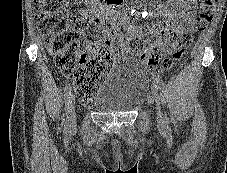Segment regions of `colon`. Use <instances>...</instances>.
I'll return each mask as SVG.
<instances>
[{
    "mask_svg": "<svg viewBox=\"0 0 227 173\" xmlns=\"http://www.w3.org/2000/svg\"><path fill=\"white\" fill-rule=\"evenodd\" d=\"M70 2L34 0L36 23L56 67L73 78L78 97L83 102H90L112 61L102 42L116 33L118 24L115 19L91 18L80 12L67 11L65 6ZM215 7L216 0H200L199 28L213 19ZM192 42V35L185 33L169 49L162 36H152L147 41L136 37L130 40L129 47L148 67L168 70L183 57Z\"/></svg>",
    "mask_w": 227,
    "mask_h": 173,
    "instance_id": "5ec220e1",
    "label": "colon"
}]
</instances>
